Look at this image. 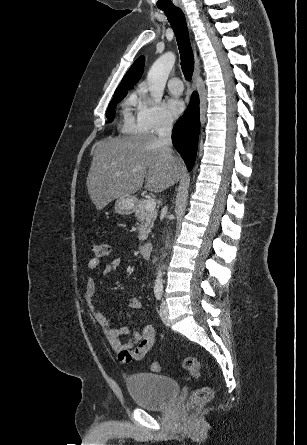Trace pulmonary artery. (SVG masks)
Segmentation results:
<instances>
[{
  "label": "pulmonary artery",
  "mask_w": 307,
  "mask_h": 445,
  "mask_svg": "<svg viewBox=\"0 0 307 445\" xmlns=\"http://www.w3.org/2000/svg\"><path fill=\"white\" fill-rule=\"evenodd\" d=\"M181 77L178 73L174 72L171 75V79L168 83L169 91L174 95H180L183 92V82L182 81H174L179 80Z\"/></svg>",
  "instance_id": "1"
}]
</instances>
